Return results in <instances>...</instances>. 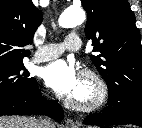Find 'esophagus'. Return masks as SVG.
I'll return each instance as SVG.
<instances>
[{
  "mask_svg": "<svg viewBox=\"0 0 142 128\" xmlns=\"http://www.w3.org/2000/svg\"><path fill=\"white\" fill-rule=\"evenodd\" d=\"M66 125L68 128H79V124L72 119H67Z\"/></svg>",
  "mask_w": 142,
  "mask_h": 128,
  "instance_id": "34e87169",
  "label": "esophagus"
}]
</instances>
